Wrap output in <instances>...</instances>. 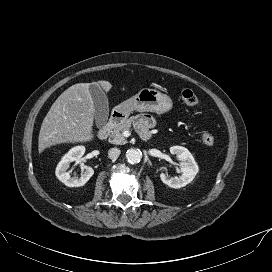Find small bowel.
<instances>
[{"mask_svg":"<svg viewBox=\"0 0 272 272\" xmlns=\"http://www.w3.org/2000/svg\"><path fill=\"white\" fill-rule=\"evenodd\" d=\"M153 126V120L150 117H141L137 122V131L144 139L149 137V131Z\"/></svg>","mask_w":272,"mask_h":272,"instance_id":"obj_1","label":"small bowel"}]
</instances>
